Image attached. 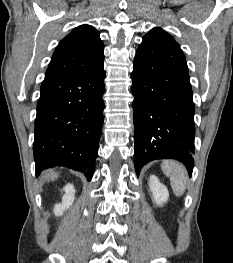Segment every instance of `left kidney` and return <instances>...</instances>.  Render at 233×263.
I'll return each instance as SVG.
<instances>
[{
	"instance_id": "left-kidney-1",
	"label": "left kidney",
	"mask_w": 233,
	"mask_h": 263,
	"mask_svg": "<svg viewBox=\"0 0 233 263\" xmlns=\"http://www.w3.org/2000/svg\"><path fill=\"white\" fill-rule=\"evenodd\" d=\"M149 187L150 191L152 192L153 201L157 206H162L163 203L167 202L169 198V192L166 186L161 184L156 176H150Z\"/></svg>"
}]
</instances>
